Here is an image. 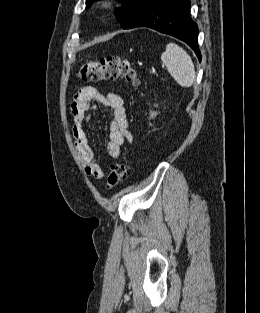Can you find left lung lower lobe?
<instances>
[{"mask_svg":"<svg viewBox=\"0 0 260 313\" xmlns=\"http://www.w3.org/2000/svg\"><path fill=\"white\" fill-rule=\"evenodd\" d=\"M189 0H152L125 28L149 27L187 43L201 60L198 28L190 17Z\"/></svg>","mask_w":260,"mask_h":313,"instance_id":"left-lung-lower-lobe-1","label":"left lung lower lobe"}]
</instances>
